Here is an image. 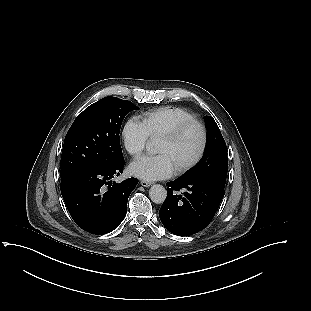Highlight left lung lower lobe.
Instances as JSON below:
<instances>
[{"instance_id":"obj_1","label":"left lung lower lobe","mask_w":311,"mask_h":311,"mask_svg":"<svg viewBox=\"0 0 311 311\" xmlns=\"http://www.w3.org/2000/svg\"><path fill=\"white\" fill-rule=\"evenodd\" d=\"M167 198L160 212L164 227L178 236L203 230L213 219L224 197V187L207 179L178 178L167 183ZM186 188L183 195L173 191Z\"/></svg>"}]
</instances>
